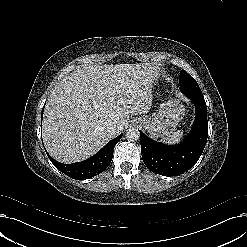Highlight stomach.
Listing matches in <instances>:
<instances>
[{
	"instance_id": "0dacf381",
	"label": "stomach",
	"mask_w": 247,
	"mask_h": 247,
	"mask_svg": "<svg viewBox=\"0 0 247 247\" xmlns=\"http://www.w3.org/2000/svg\"><path fill=\"white\" fill-rule=\"evenodd\" d=\"M185 116V108L180 99H170L160 105L157 113L137 119L141 127L152 138H164L172 133Z\"/></svg>"
}]
</instances>
